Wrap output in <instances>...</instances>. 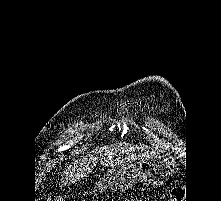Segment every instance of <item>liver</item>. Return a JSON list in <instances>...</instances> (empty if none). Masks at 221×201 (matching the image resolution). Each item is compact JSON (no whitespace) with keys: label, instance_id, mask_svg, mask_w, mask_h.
Here are the masks:
<instances>
[{"label":"liver","instance_id":"obj_1","mask_svg":"<svg viewBox=\"0 0 221 201\" xmlns=\"http://www.w3.org/2000/svg\"><path fill=\"white\" fill-rule=\"evenodd\" d=\"M153 154L147 147H138L127 143H118L87 152L83 157L69 165L65 171L63 185L76 182L91 172L100 162L105 167L131 163Z\"/></svg>","mask_w":221,"mask_h":201}]
</instances>
